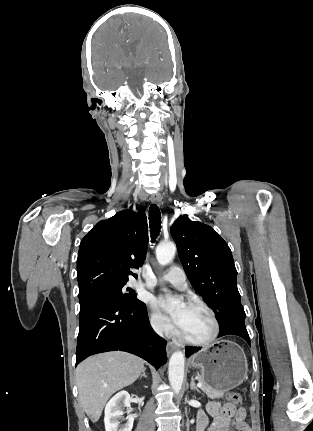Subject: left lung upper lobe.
Wrapping results in <instances>:
<instances>
[{
  "instance_id": "obj_1",
  "label": "left lung upper lobe",
  "mask_w": 313,
  "mask_h": 431,
  "mask_svg": "<svg viewBox=\"0 0 313 431\" xmlns=\"http://www.w3.org/2000/svg\"><path fill=\"white\" fill-rule=\"evenodd\" d=\"M171 234L189 281L213 309L220 328L245 321L237 270L227 243L212 227L185 215L175 221Z\"/></svg>"
}]
</instances>
